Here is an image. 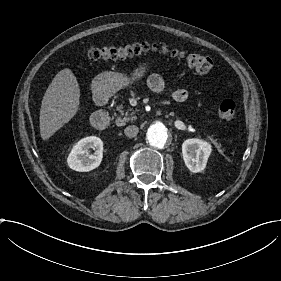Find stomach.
<instances>
[{"label": "stomach", "mask_w": 281, "mask_h": 281, "mask_svg": "<svg viewBox=\"0 0 281 281\" xmlns=\"http://www.w3.org/2000/svg\"><path fill=\"white\" fill-rule=\"evenodd\" d=\"M152 64V60L140 62L129 75L106 71L95 78L93 85L99 94L113 95L120 89L131 87L141 81L148 74Z\"/></svg>", "instance_id": "stomach-1"}]
</instances>
